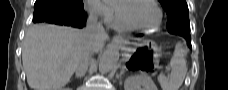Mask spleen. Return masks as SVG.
I'll return each instance as SVG.
<instances>
[{"mask_svg":"<svg viewBox=\"0 0 228 90\" xmlns=\"http://www.w3.org/2000/svg\"><path fill=\"white\" fill-rule=\"evenodd\" d=\"M171 73L169 76L158 77L162 90H178L182 85L187 73V64L184 50L180 44L176 45L174 54L170 61Z\"/></svg>","mask_w":228,"mask_h":90,"instance_id":"obj_1","label":"spleen"}]
</instances>
